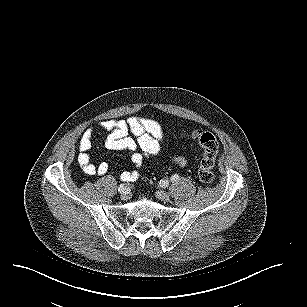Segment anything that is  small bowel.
I'll return each mask as SVG.
<instances>
[{"instance_id": "1", "label": "small bowel", "mask_w": 307, "mask_h": 307, "mask_svg": "<svg viewBox=\"0 0 307 307\" xmlns=\"http://www.w3.org/2000/svg\"><path fill=\"white\" fill-rule=\"evenodd\" d=\"M97 130L108 132L105 141L106 148L113 151H127L136 169L123 171L119 177L123 182H134L139 178L138 169L145 159L156 156L160 152L163 130L160 124L152 119L131 116L125 120H103L86 129L79 141L78 164L82 171L90 176L107 174L108 163L95 164L91 160L90 150L92 140ZM132 133L135 138L130 136ZM173 161L179 166H185L186 160L175 156Z\"/></svg>"}]
</instances>
